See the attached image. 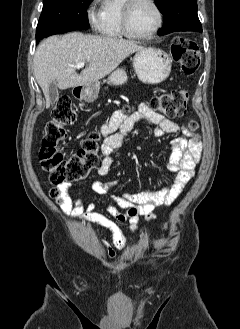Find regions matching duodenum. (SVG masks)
Segmentation results:
<instances>
[{
    "instance_id": "410a0bca",
    "label": "duodenum",
    "mask_w": 240,
    "mask_h": 329,
    "mask_svg": "<svg viewBox=\"0 0 240 329\" xmlns=\"http://www.w3.org/2000/svg\"><path fill=\"white\" fill-rule=\"evenodd\" d=\"M76 90H78V95H80V88L78 87L76 88Z\"/></svg>"
}]
</instances>
